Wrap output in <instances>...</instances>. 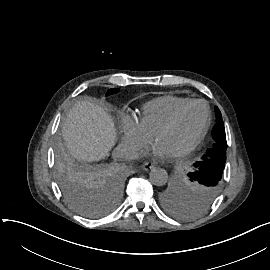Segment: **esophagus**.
<instances>
[{"mask_svg":"<svg viewBox=\"0 0 270 270\" xmlns=\"http://www.w3.org/2000/svg\"><path fill=\"white\" fill-rule=\"evenodd\" d=\"M141 167L143 170L148 171L154 167V164L152 162H146Z\"/></svg>","mask_w":270,"mask_h":270,"instance_id":"1","label":"esophagus"}]
</instances>
